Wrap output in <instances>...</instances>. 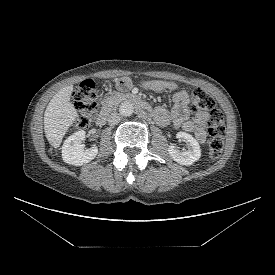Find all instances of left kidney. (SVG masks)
<instances>
[{"mask_svg": "<svg viewBox=\"0 0 275 275\" xmlns=\"http://www.w3.org/2000/svg\"><path fill=\"white\" fill-rule=\"evenodd\" d=\"M176 137L184 139L187 142L188 150H179L171 144L168 147V152L172 159L180 165H192L195 161L199 160L201 156V149L197 140L192 135L186 132H178Z\"/></svg>", "mask_w": 275, "mask_h": 275, "instance_id": "obj_1", "label": "left kidney"}]
</instances>
